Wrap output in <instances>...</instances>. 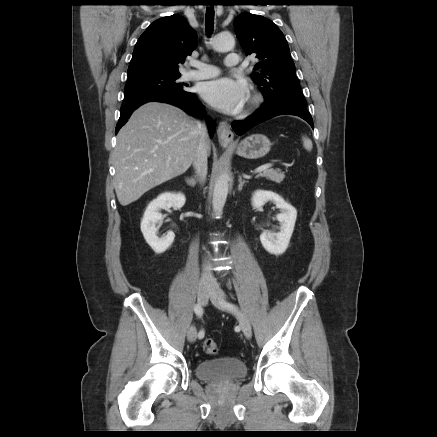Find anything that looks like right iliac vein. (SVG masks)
I'll list each match as a JSON object with an SVG mask.
<instances>
[{"label":"right iliac vein","mask_w":437,"mask_h":437,"mask_svg":"<svg viewBox=\"0 0 437 437\" xmlns=\"http://www.w3.org/2000/svg\"><path fill=\"white\" fill-rule=\"evenodd\" d=\"M211 294V289L207 285H200L198 288L197 299L200 305H206L208 298ZM197 338V330L194 326H191L187 332V339L189 342H194Z\"/></svg>","instance_id":"right-iliac-vein-1"}]
</instances>
